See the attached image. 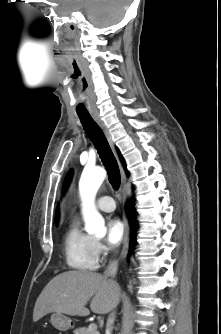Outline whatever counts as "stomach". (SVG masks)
I'll return each mask as SVG.
<instances>
[{
  "label": "stomach",
  "mask_w": 221,
  "mask_h": 334,
  "mask_svg": "<svg viewBox=\"0 0 221 334\" xmlns=\"http://www.w3.org/2000/svg\"><path fill=\"white\" fill-rule=\"evenodd\" d=\"M51 324L60 331H67L72 328V320L62 313L54 312L50 319Z\"/></svg>",
  "instance_id": "obj_1"
}]
</instances>
